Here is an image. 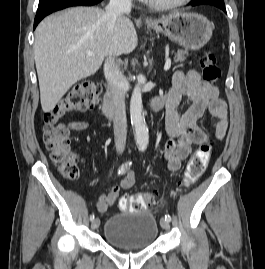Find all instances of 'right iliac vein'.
<instances>
[{
    "label": "right iliac vein",
    "mask_w": 265,
    "mask_h": 269,
    "mask_svg": "<svg viewBox=\"0 0 265 269\" xmlns=\"http://www.w3.org/2000/svg\"><path fill=\"white\" fill-rule=\"evenodd\" d=\"M99 225H100V220L98 218H95L91 223L92 229H97Z\"/></svg>",
    "instance_id": "1"
}]
</instances>
